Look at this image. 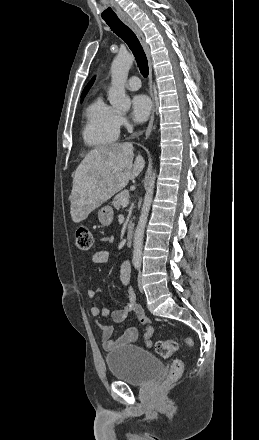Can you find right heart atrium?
<instances>
[{
    "instance_id": "1",
    "label": "right heart atrium",
    "mask_w": 259,
    "mask_h": 440,
    "mask_svg": "<svg viewBox=\"0 0 259 440\" xmlns=\"http://www.w3.org/2000/svg\"><path fill=\"white\" fill-rule=\"evenodd\" d=\"M116 123L119 129L127 128L129 126V122L127 117L124 114L117 113Z\"/></svg>"
}]
</instances>
